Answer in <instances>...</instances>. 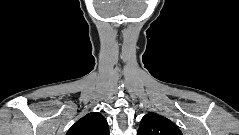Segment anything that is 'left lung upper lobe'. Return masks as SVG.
<instances>
[{"label": "left lung upper lobe", "instance_id": "1", "mask_svg": "<svg viewBox=\"0 0 239 135\" xmlns=\"http://www.w3.org/2000/svg\"><path fill=\"white\" fill-rule=\"evenodd\" d=\"M137 135H182L169 119L156 113L146 114L140 122Z\"/></svg>", "mask_w": 239, "mask_h": 135}]
</instances>
